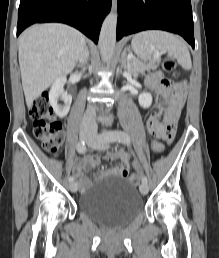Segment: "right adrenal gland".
<instances>
[{
    "mask_svg": "<svg viewBox=\"0 0 219 258\" xmlns=\"http://www.w3.org/2000/svg\"><path fill=\"white\" fill-rule=\"evenodd\" d=\"M82 65H83V64H80V63H79V64H77V66H78V67H81Z\"/></svg>",
    "mask_w": 219,
    "mask_h": 258,
    "instance_id": "2a0ac1e0",
    "label": "right adrenal gland"
}]
</instances>
